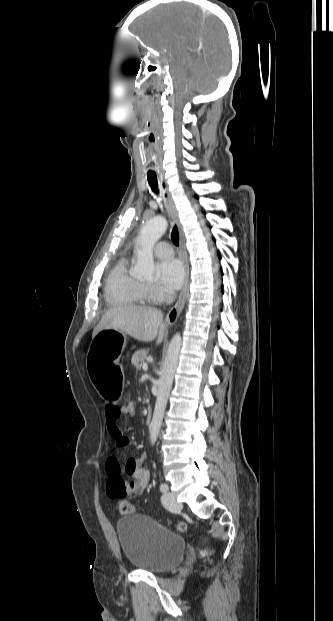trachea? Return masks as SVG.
Segmentation results:
<instances>
[{
	"instance_id": "3493384b",
	"label": "trachea",
	"mask_w": 333,
	"mask_h": 621,
	"mask_svg": "<svg viewBox=\"0 0 333 621\" xmlns=\"http://www.w3.org/2000/svg\"><path fill=\"white\" fill-rule=\"evenodd\" d=\"M147 180H148V184L152 190V192H157L158 193V189H157V177L155 173H148L147 174ZM171 239L173 241V243L176 246H179V232H178V228L176 226L173 227L172 229V233H171Z\"/></svg>"
}]
</instances>
